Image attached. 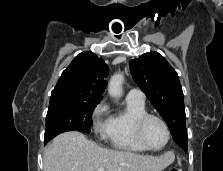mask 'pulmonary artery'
I'll return each instance as SVG.
<instances>
[{
  "instance_id": "e3ab8cb5",
  "label": "pulmonary artery",
  "mask_w": 223,
  "mask_h": 171,
  "mask_svg": "<svg viewBox=\"0 0 223 171\" xmlns=\"http://www.w3.org/2000/svg\"><path fill=\"white\" fill-rule=\"evenodd\" d=\"M126 98L139 102H144L145 95L140 89L132 88L128 91Z\"/></svg>"
}]
</instances>
